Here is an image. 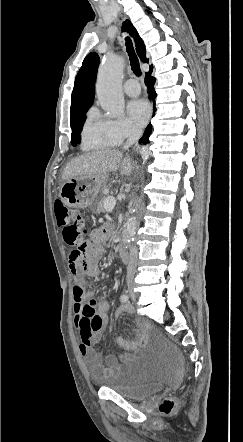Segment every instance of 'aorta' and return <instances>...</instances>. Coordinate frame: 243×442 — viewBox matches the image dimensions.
<instances>
[{"label": "aorta", "instance_id": "1", "mask_svg": "<svg viewBox=\"0 0 243 442\" xmlns=\"http://www.w3.org/2000/svg\"><path fill=\"white\" fill-rule=\"evenodd\" d=\"M124 61L118 56H107L105 62L98 71L97 95L103 109L107 115L117 118L123 115L125 102L121 88ZM138 219L136 215L128 218L122 232V240L125 244L133 242Z\"/></svg>", "mask_w": 243, "mask_h": 442}]
</instances>
